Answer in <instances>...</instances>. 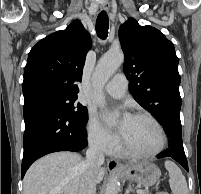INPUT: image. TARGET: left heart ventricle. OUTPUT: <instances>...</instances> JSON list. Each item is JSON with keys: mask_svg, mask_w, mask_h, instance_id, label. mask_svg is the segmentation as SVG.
I'll list each match as a JSON object with an SVG mask.
<instances>
[{"mask_svg": "<svg viewBox=\"0 0 201 194\" xmlns=\"http://www.w3.org/2000/svg\"><path fill=\"white\" fill-rule=\"evenodd\" d=\"M126 143L141 152H150L160 143V135L156 126L146 118L132 117L123 136Z\"/></svg>", "mask_w": 201, "mask_h": 194, "instance_id": "1", "label": "left heart ventricle"}]
</instances>
